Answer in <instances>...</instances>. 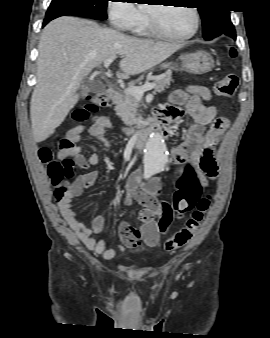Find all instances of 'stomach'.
Wrapping results in <instances>:
<instances>
[{"label":"stomach","instance_id":"obj_1","mask_svg":"<svg viewBox=\"0 0 270 338\" xmlns=\"http://www.w3.org/2000/svg\"><path fill=\"white\" fill-rule=\"evenodd\" d=\"M182 64L180 70L193 74H205L212 70L214 67L213 57L204 51H198L191 54L182 55L180 57ZM171 64H164L162 67H169ZM177 70V67H172Z\"/></svg>","mask_w":270,"mask_h":338}]
</instances>
